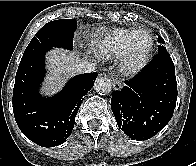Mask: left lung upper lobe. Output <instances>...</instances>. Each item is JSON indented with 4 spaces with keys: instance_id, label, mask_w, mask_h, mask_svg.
<instances>
[{
    "instance_id": "5c2ea615",
    "label": "left lung upper lobe",
    "mask_w": 196,
    "mask_h": 166,
    "mask_svg": "<svg viewBox=\"0 0 196 166\" xmlns=\"http://www.w3.org/2000/svg\"><path fill=\"white\" fill-rule=\"evenodd\" d=\"M158 42L161 44L158 46V51H160L161 49H164L165 47L163 46V44H165L163 38L161 36H158Z\"/></svg>"
}]
</instances>
